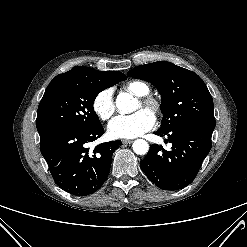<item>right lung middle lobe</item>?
<instances>
[{"label": "right lung middle lobe", "mask_w": 247, "mask_h": 247, "mask_svg": "<svg viewBox=\"0 0 247 247\" xmlns=\"http://www.w3.org/2000/svg\"><path fill=\"white\" fill-rule=\"evenodd\" d=\"M84 76L55 77L38 107L36 127L40 136L64 129H91L100 125L93 103L98 93L115 85Z\"/></svg>", "instance_id": "dd1d6c3e"}]
</instances>
